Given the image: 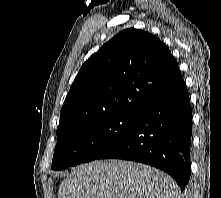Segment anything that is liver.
I'll use <instances>...</instances> for the list:
<instances>
[{
	"mask_svg": "<svg viewBox=\"0 0 221 198\" xmlns=\"http://www.w3.org/2000/svg\"><path fill=\"white\" fill-rule=\"evenodd\" d=\"M166 173L141 163L100 160L80 165L62 181L58 198H179Z\"/></svg>",
	"mask_w": 221,
	"mask_h": 198,
	"instance_id": "1",
	"label": "liver"
}]
</instances>
